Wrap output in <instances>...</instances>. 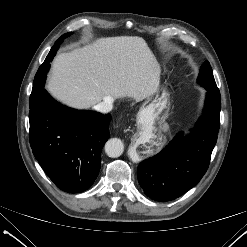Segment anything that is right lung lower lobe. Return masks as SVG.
Segmentation results:
<instances>
[{"mask_svg":"<svg viewBox=\"0 0 247 247\" xmlns=\"http://www.w3.org/2000/svg\"><path fill=\"white\" fill-rule=\"evenodd\" d=\"M110 114L77 111L56 102L45 89L30 105L33 154L54 184L69 193L87 190L100 170L110 133Z\"/></svg>","mask_w":247,"mask_h":247,"instance_id":"1","label":"right lung lower lobe"}]
</instances>
